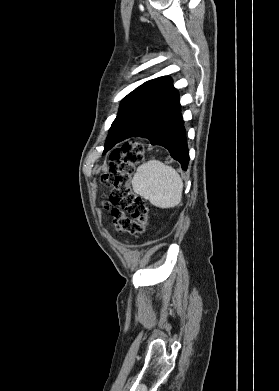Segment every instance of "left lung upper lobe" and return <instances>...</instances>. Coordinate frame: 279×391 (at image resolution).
<instances>
[{"label":"left lung upper lobe","instance_id":"1","mask_svg":"<svg viewBox=\"0 0 279 391\" xmlns=\"http://www.w3.org/2000/svg\"><path fill=\"white\" fill-rule=\"evenodd\" d=\"M179 101L178 91L168 76L143 83L121 102L118 115L106 139L104 153L116 143L139 133Z\"/></svg>","mask_w":279,"mask_h":391}]
</instances>
